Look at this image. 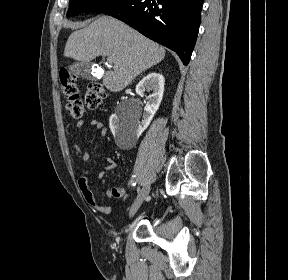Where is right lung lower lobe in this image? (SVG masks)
Here are the masks:
<instances>
[{"mask_svg":"<svg viewBox=\"0 0 288 280\" xmlns=\"http://www.w3.org/2000/svg\"><path fill=\"white\" fill-rule=\"evenodd\" d=\"M203 0H123L107 8L146 37L175 51L188 65L200 25Z\"/></svg>","mask_w":288,"mask_h":280,"instance_id":"98d812e1","label":"right lung lower lobe"}]
</instances>
